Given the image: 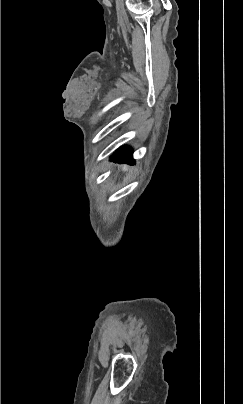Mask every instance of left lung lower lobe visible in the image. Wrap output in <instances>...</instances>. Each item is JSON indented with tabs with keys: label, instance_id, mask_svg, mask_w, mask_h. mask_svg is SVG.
Masks as SVG:
<instances>
[{
	"label": "left lung lower lobe",
	"instance_id": "1",
	"mask_svg": "<svg viewBox=\"0 0 243 404\" xmlns=\"http://www.w3.org/2000/svg\"><path fill=\"white\" fill-rule=\"evenodd\" d=\"M111 160L118 163L134 164L132 150L128 147H122L119 149L116 154L111 157Z\"/></svg>",
	"mask_w": 243,
	"mask_h": 404
}]
</instances>
